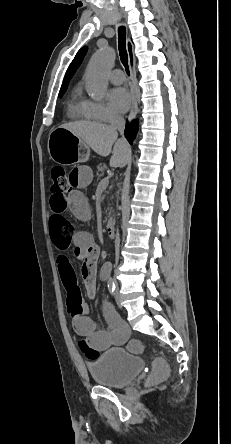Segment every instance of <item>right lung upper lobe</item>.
<instances>
[{
  "label": "right lung upper lobe",
  "mask_w": 231,
  "mask_h": 444,
  "mask_svg": "<svg viewBox=\"0 0 231 444\" xmlns=\"http://www.w3.org/2000/svg\"><path fill=\"white\" fill-rule=\"evenodd\" d=\"M86 52H87V47H83L78 51V53L76 54L74 60L70 64V66L65 74L64 82L61 86V89L67 88L69 80L72 78V76L76 72L77 68L80 66Z\"/></svg>",
  "instance_id": "right-lung-upper-lobe-1"
}]
</instances>
